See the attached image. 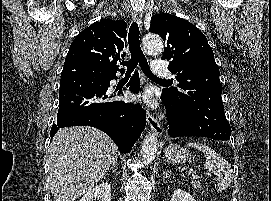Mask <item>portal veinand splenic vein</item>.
<instances>
[{
	"mask_svg": "<svg viewBox=\"0 0 271 201\" xmlns=\"http://www.w3.org/2000/svg\"><path fill=\"white\" fill-rule=\"evenodd\" d=\"M192 178H193V179H200V176H199V175H196V174H193V175H192Z\"/></svg>",
	"mask_w": 271,
	"mask_h": 201,
	"instance_id": "1",
	"label": "portal vein and splenic vein"
}]
</instances>
